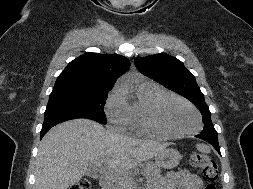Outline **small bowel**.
Listing matches in <instances>:
<instances>
[{
    "label": "small bowel",
    "mask_w": 253,
    "mask_h": 189,
    "mask_svg": "<svg viewBox=\"0 0 253 189\" xmlns=\"http://www.w3.org/2000/svg\"><path fill=\"white\" fill-rule=\"evenodd\" d=\"M202 180L188 170L170 172L166 175L162 189H201Z\"/></svg>",
    "instance_id": "c3829d8e"
}]
</instances>
